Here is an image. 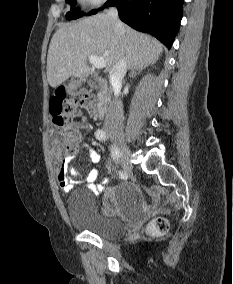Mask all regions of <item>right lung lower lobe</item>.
<instances>
[{
  "label": "right lung lower lobe",
  "mask_w": 233,
  "mask_h": 284,
  "mask_svg": "<svg viewBox=\"0 0 233 284\" xmlns=\"http://www.w3.org/2000/svg\"><path fill=\"white\" fill-rule=\"evenodd\" d=\"M182 2L183 0H108L101 9L116 6L123 22L136 30L152 34L171 48L182 18Z\"/></svg>",
  "instance_id": "obj_1"
}]
</instances>
